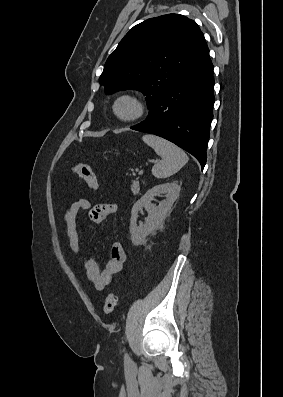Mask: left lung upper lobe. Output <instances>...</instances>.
Wrapping results in <instances>:
<instances>
[{"label": "left lung upper lobe", "instance_id": "1", "mask_svg": "<svg viewBox=\"0 0 283 397\" xmlns=\"http://www.w3.org/2000/svg\"><path fill=\"white\" fill-rule=\"evenodd\" d=\"M209 56L195 21L180 14L147 19L134 26L108 57L99 81L106 94L136 89L150 109L191 69Z\"/></svg>", "mask_w": 283, "mask_h": 397}]
</instances>
